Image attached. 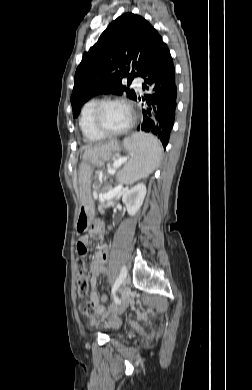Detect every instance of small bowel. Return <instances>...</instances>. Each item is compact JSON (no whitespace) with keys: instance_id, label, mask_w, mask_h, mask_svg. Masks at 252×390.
<instances>
[{"instance_id":"c3829d8e","label":"small bowel","mask_w":252,"mask_h":390,"mask_svg":"<svg viewBox=\"0 0 252 390\" xmlns=\"http://www.w3.org/2000/svg\"><path fill=\"white\" fill-rule=\"evenodd\" d=\"M104 234V225L99 221H94L90 229L89 235H83L79 238L77 243V252L81 255H86L87 253V244L90 242V236H97L101 238ZM86 247V249L83 248ZM109 249L106 244H100L97 247V250L94 254L90 269L92 277L90 280L91 290L89 293V298L91 303L94 305L95 310L102 314L104 313V306L101 304L102 298L100 299L96 291V278L99 275H106V263L108 260Z\"/></svg>"}]
</instances>
